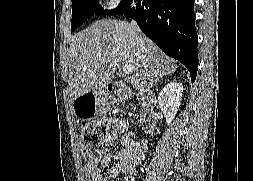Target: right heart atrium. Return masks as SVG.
Wrapping results in <instances>:
<instances>
[{
    "instance_id": "1",
    "label": "right heart atrium",
    "mask_w": 253,
    "mask_h": 181,
    "mask_svg": "<svg viewBox=\"0 0 253 181\" xmlns=\"http://www.w3.org/2000/svg\"><path fill=\"white\" fill-rule=\"evenodd\" d=\"M126 0H103L104 6L109 11H118L123 8Z\"/></svg>"
}]
</instances>
